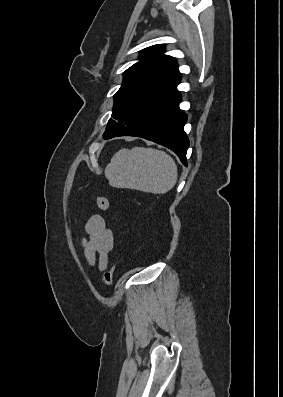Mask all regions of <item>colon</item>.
<instances>
[{
    "label": "colon",
    "mask_w": 283,
    "mask_h": 397,
    "mask_svg": "<svg viewBox=\"0 0 283 397\" xmlns=\"http://www.w3.org/2000/svg\"><path fill=\"white\" fill-rule=\"evenodd\" d=\"M97 205L102 211H108L110 204L106 197L100 196L97 198ZM117 264H114L111 269H109L102 277V283L105 286H109L112 284L115 276Z\"/></svg>",
    "instance_id": "1"
}]
</instances>
